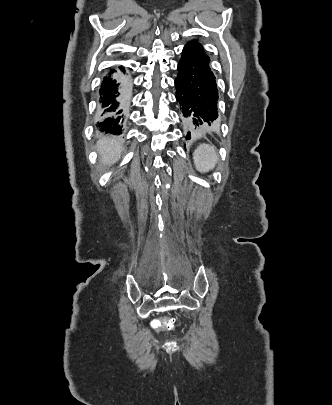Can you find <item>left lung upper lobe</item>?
I'll list each match as a JSON object with an SVG mask.
<instances>
[{
  "label": "left lung upper lobe",
  "instance_id": "5c2ea615",
  "mask_svg": "<svg viewBox=\"0 0 332 405\" xmlns=\"http://www.w3.org/2000/svg\"><path fill=\"white\" fill-rule=\"evenodd\" d=\"M188 43L193 44V45H197V46H200V47H201V45H200L196 40L191 41V42H188Z\"/></svg>",
  "mask_w": 332,
  "mask_h": 405
}]
</instances>
